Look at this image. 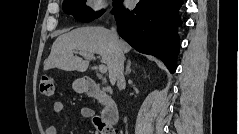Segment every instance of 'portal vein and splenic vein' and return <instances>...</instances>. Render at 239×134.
Returning a JSON list of instances; mask_svg holds the SVG:
<instances>
[{
    "mask_svg": "<svg viewBox=\"0 0 239 134\" xmlns=\"http://www.w3.org/2000/svg\"><path fill=\"white\" fill-rule=\"evenodd\" d=\"M79 54L85 58H89V59H95L94 55L91 53H87V52H79ZM99 71L100 73H106L107 72V67L103 64L99 65Z\"/></svg>",
    "mask_w": 239,
    "mask_h": 134,
    "instance_id": "obj_1",
    "label": "portal vein and splenic vein"
}]
</instances>
